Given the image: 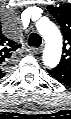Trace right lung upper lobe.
<instances>
[{
    "mask_svg": "<svg viewBox=\"0 0 71 119\" xmlns=\"http://www.w3.org/2000/svg\"><path fill=\"white\" fill-rule=\"evenodd\" d=\"M0 42H1V53H2V59L6 62L10 61V58L16 49H18L21 45L17 44V42H14L13 40H10L3 35L0 36Z\"/></svg>",
    "mask_w": 71,
    "mask_h": 119,
    "instance_id": "obj_1",
    "label": "right lung upper lobe"
}]
</instances>
